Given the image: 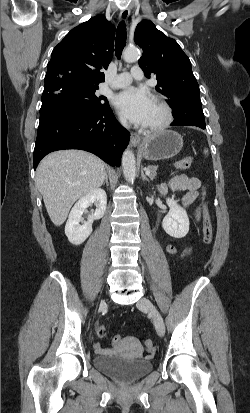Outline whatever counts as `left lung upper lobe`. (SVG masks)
<instances>
[{"instance_id":"left-lung-upper-lobe-1","label":"left lung upper lobe","mask_w":250,"mask_h":413,"mask_svg":"<svg viewBox=\"0 0 250 413\" xmlns=\"http://www.w3.org/2000/svg\"><path fill=\"white\" fill-rule=\"evenodd\" d=\"M134 42L143 51L138 63L147 78L156 75V90L168 97L172 107L177 102L199 98L200 90L191 69V62L179 44L159 31L147 20L135 30Z\"/></svg>"}]
</instances>
